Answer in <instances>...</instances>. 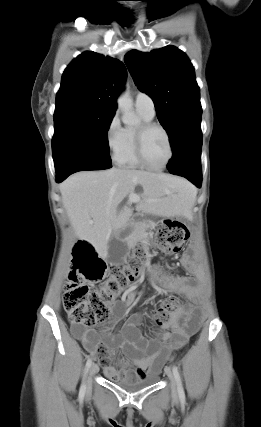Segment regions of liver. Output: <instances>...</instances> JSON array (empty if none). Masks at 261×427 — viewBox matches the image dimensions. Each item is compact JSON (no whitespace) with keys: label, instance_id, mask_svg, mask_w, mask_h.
Wrapping results in <instances>:
<instances>
[{"label":"liver","instance_id":"liver-1","mask_svg":"<svg viewBox=\"0 0 261 427\" xmlns=\"http://www.w3.org/2000/svg\"><path fill=\"white\" fill-rule=\"evenodd\" d=\"M143 188L137 208L155 216H187L195 200V189L183 178L163 173L111 168L82 171L60 185L63 206L77 238L89 242L102 257L108 254L113 231L127 226L132 210L118 211L123 199Z\"/></svg>","mask_w":261,"mask_h":427}]
</instances>
